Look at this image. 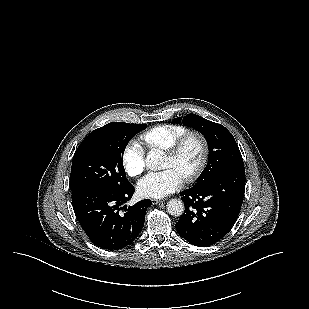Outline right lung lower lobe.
Instances as JSON below:
<instances>
[{"mask_svg":"<svg viewBox=\"0 0 309 309\" xmlns=\"http://www.w3.org/2000/svg\"><path fill=\"white\" fill-rule=\"evenodd\" d=\"M133 185L121 191L89 188L72 192L75 215L96 246L119 250L130 245L142 231L145 213L151 200L145 199L133 206H122L134 193ZM125 213L120 212L121 210Z\"/></svg>","mask_w":309,"mask_h":309,"instance_id":"obj_1","label":"right lung lower lobe"}]
</instances>
